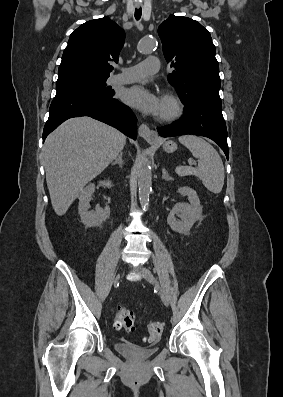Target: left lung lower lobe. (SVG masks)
<instances>
[{
	"label": "left lung lower lobe",
	"mask_w": 283,
	"mask_h": 397,
	"mask_svg": "<svg viewBox=\"0 0 283 397\" xmlns=\"http://www.w3.org/2000/svg\"><path fill=\"white\" fill-rule=\"evenodd\" d=\"M162 137L193 134L208 137L216 142L228 159L227 129L222 108L205 103H193L185 106L184 115L170 125L158 127Z\"/></svg>",
	"instance_id": "left-lung-lower-lobe-1"
}]
</instances>
